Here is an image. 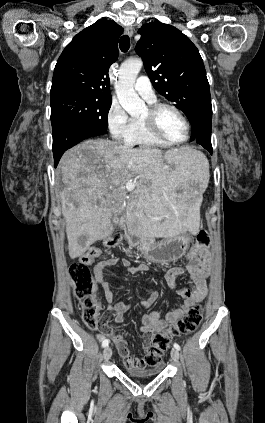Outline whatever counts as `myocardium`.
<instances>
[{
	"label": "myocardium",
	"mask_w": 265,
	"mask_h": 423,
	"mask_svg": "<svg viewBox=\"0 0 265 423\" xmlns=\"http://www.w3.org/2000/svg\"><path fill=\"white\" fill-rule=\"evenodd\" d=\"M164 109H170L175 112L183 121L186 129V135L183 140L181 141H172L168 139L160 130L157 122V117L159 113ZM147 116H145L142 121L145 124L148 131L158 140L161 142L169 145V146H178L186 143L190 138L191 133V125L189 120L187 119L186 115L175 105L169 103H154L150 105L147 111Z\"/></svg>",
	"instance_id": "f54148a6"
}]
</instances>
